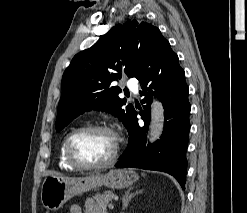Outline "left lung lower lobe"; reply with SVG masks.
<instances>
[{"mask_svg":"<svg viewBox=\"0 0 247 213\" xmlns=\"http://www.w3.org/2000/svg\"><path fill=\"white\" fill-rule=\"evenodd\" d=\"M150 81L152 83L147 87ZM140 82L141 96H145L142 103L147 104L143 110L139 108L144 126H139L135 111L126 127L129 133L128 146L115 166L167 172L184 188L191 108L185 73L179 66L177 55L172 53L161 63L154 64ZM153 96L162 101L166 122L160 140L146 146V129L150 122V104Z\"/></svg>","mask_w":247,"mask_h":213,"instance_id":"left-lung-lower-lobe-1","label":"left lung lower lobe"}]
</instances>
